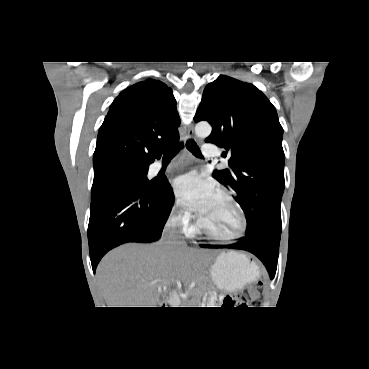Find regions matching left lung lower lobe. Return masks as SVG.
Returning a JSON list of instances; mask_svg holds the SVG:
<instances>
[{
	"mask_svg": "<svg viewBox=\"0 0 369 369\" xmlns=\"http://www.w3.org/2000/svg\"><path fill=\"white\" fill-rule=\"evenodd\" d=\"M281 233L264 232L251 237H244L231 245H200L203 248H233L246 250L257 256L265 265L271 278H274Z\"/></svg>",
	"mask_w": 369,
	"mask_h": 369,
	"instance_id": "1",
	"label": "left lung lower lobe"
}]
</instances>
